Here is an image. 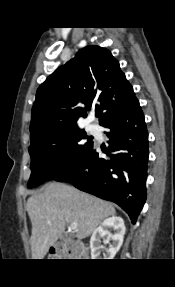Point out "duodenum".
Returning a JSON list of instances; mask_svg holds the SVG:
<instances>
[{
	"mask_svg": "<svg viewBox=\"0 0 175 287\" xmlns=\"http://www.w3.org/2000/svg\"><path fill=\"white\" fill-rule=\"evenodd\" d=\"M73 252V251H72ZM74 254H76V255H79V254H77V253H75V252H73ZM81 254V253H80Z\"/></svg>",
	"mask_w": 175,
	"mask_h": 287,
	"instance_id": "1",
	"label": "duodenum"
}]
</instances>
